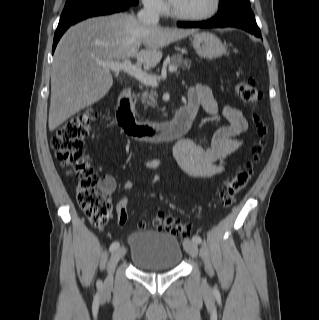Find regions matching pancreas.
<instances>
[{"mask_svg":"<svg viewBox=\"0 0 319 320\" xmlns=\"http://www.w3.org/2000/svg\"><path fill=\"white\" fill-rule=\"evenodd\" d=\"M170 64L171 66H176V67L182 66L184 68H189L191 65V60L184 58L182 54H174L170 59ZM156 99H157V94L153 90H151L150 92L145 91L142 94V103L145 105V107L155 106Z\"/></svg>","mask_w":319,"mask_h":320,"instance_id":"obj_1","label":"pancreas"}]
</instances>
